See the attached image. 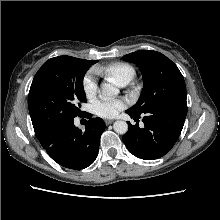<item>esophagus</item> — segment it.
<instances>
[{"instance_id": "esophagus-1", "label": "esophagus", "mask_w": 220, "mask_h": 220, "mask_svg": "<svg viewBox=\"0 0 220 220\" xmlns=\"http://www.w3.org/2000/svg\"><path fill=\"white\" fill-rule=\"evenodd\" d=\"M113 121H114V120H109V119H107V120H105V123H106V125H109V124L113 123Z\"/></svg>"}]
</instances>
